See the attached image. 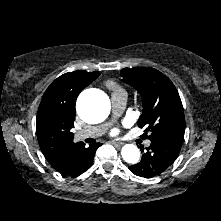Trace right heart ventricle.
<instances>
[{
	"label": "right heart ventricle",
	"mask_w": 221,
	"mask_h": 221,
	"mask_svg": "<svg viewBox=\"0 0 221 221\" xmlns=\"http://www.w3.org/2000/svg\"><path fill=\"white\" fill-rule=\"evenodd\" d=\"M108 86L111 88H116V85L113 82H108Z\"/></svg>",
	"instance_id": "e07e8e85"
}]
</instances>
